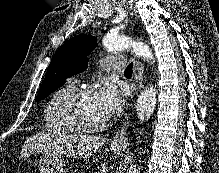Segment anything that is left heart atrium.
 <instances>
[{
  "label": "left heart atrium",
  "mask_w": 219,
  "mask_h": 173,
  "mask_svg": "<svg viewBox=\"0 0 219 173\" xmlns=\"http://www.w3.org/2000/svg\"><path fill=\"white\" fill-rule=\"evenodd\" d=\"M96 97L102 111L107 117L115 115L120 110L123 94L113 83H105L96 92Z\"/></svg>",
  "instance_id": "1"
}]
</instances>
